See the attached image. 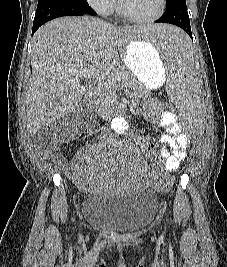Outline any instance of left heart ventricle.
<instances>
[{
  "mask_svg": "<svg viewBox=\"0 0 227 267\" xmlns=\"http://www.w3.org/2000/svg\"><path fill=\"white\" fill-rule=\"evenodd\" d=\"M125 11L135 17L148 18L159 8V0H121Z\"/></svg>",
  "mask_w": 227,
  "mask_h": 267,
  "instance_id": "b2bd125f",
  "label": "left heart ventricle"
}]
</instances>
